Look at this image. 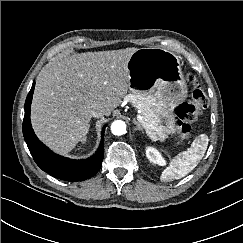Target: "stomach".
<instances>
[{
  "label": "stomach",
  "instance_id": "1",
  "mask_svg": "<svg viewBox=\"0 0 243 243\" xmlns=\"http://www.w3.org/2000/svg\"><path fill=\"white\" fill-rule=\"evenodd\" d=\"M127 69L130 90L133 93H154L157 114L166 124L165 133H174L175 120L171 113L187 96L178 57L163 48H141L132 54Z\"/></svg>",
  "mask_w": 243,
  "mask_h": 243
}]
</instances>
